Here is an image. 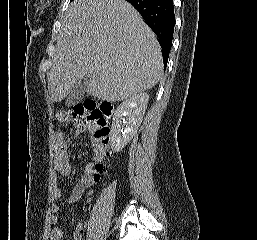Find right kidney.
<instances>
[{"label":"right kidney","mask_w":257,"mask_h":240,"mask_svg":"<svg viewBox=\"0 0 257 240\" xmlns=\"http://www.w3.org/2000/svg\"><path fill=\"white\" fill-rule=\"evenodd\" d=\"M149 101L148 93H140L123 101L115 110L110 132L111 148L121 151L136 134Z\"/></svg>","instance_id":"ca27d5eb"}]
</instances>
